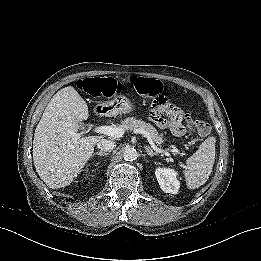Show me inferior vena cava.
<instances>
[{"instance_id": "inferior-vena-cava-1", "label": "inferior vena cava", "mask_w": 261, "mask_h": 261, "mask_svg": "<svg viewBox=\"0 0 261 261\" xmlns=\"http://www.w3.org/2000/svg\"><path fill=\"white\" fill-rule=\"evenodd\" d=\"M97 148L102 152H110L115 148V143L111 140L101 139L97 142Z\"/></svg>"}]
</instances>
